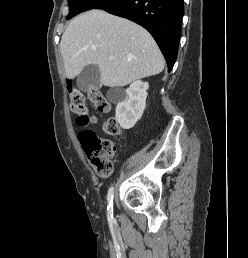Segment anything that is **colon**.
<instances>
[{
    "label": "colon",
    "mask_w": 248,
    "mask_h": 258,
    "mask_svg": "<svg viewBox=\"0 0 248 258\" xmlns=\"http://www.w3.org/2000/svg\"><path fill=\"white\" fill-rule=\"evenodd\" d=\"M71 110L78 115L77 122L85 126L95 119L88 114L84 95L77 89H70ZM91 103L100 111L107 112L111 109L110 102L104 97L99 89L92 87L88 91ZM104 131L111 136H118L121 133V126L115 118H108L103 123ZM78 139L86 155L95 167L98 175L108 178L113 174V158L117 152V143L99 137L92 130H84L79 133Z\"/></svg>",
    "instance_id": "obj_1"
}]
</instances>
